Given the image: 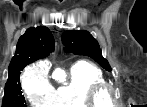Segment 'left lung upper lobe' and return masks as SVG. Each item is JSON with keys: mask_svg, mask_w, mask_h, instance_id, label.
<instances>
[{"mask_svg": "<svg viewBox=\"0 0 147 107\" xmlns=\"http://www.w3.org/2000/svg\"><path fill=\"white\" fill-rule=\"evenodd\" d=\"M61 38L67 52L89 56L105 70L111 71L108 61L101 54L97 40L88 31L68 30L62 34Z\"/></svg>", "mask_w": 147, "mask_h": 107, "instance_id": "5c2ea615", "label": "left lung upper lobe"}]
</instances>
